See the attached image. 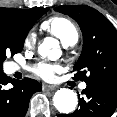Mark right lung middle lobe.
Returning <instances> with one entry per match:
<instances>
[{"label":"right lung middle lobe","mask_w":117,"mask_h":117,"mask_svg":"<svg viewBox=\"0 0 117 117\" xmlns=\"http://www.w3.org/2000/svg\"><path fill=\"white\" fill-rule=\"evenodd\" d=\"M48 10V7L34 8L27 16L0 12V72H3L2 66L6 55L13 56L22 51L29 30Z\"/></svg>","instance_id":"dd1d6c3e"}]
</instances>
